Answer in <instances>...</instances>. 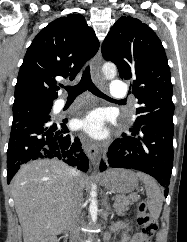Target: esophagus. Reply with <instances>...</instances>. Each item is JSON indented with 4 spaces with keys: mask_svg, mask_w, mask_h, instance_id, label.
<instances>
[{
    "mask_svg": "<svg viewBox=\"0 0 187 242\" xmlns=\"http://www.w3.org/2000/svg\"><path fill=\"white\" fill-rule=\"evenodd\" d=\"M101 64H102V54H101V50L99 49V51L95 55L93 62H92L93 73H97L100 71ZM83 144L85 147V152H86L88 158L90 159L91 163L93 165H96L98 155H99L98 144L91 141L86 136H83Z\"/></svg>",
    "mask_w": 187,
    "mask_h": 242,
    "instance_id": "1",
    "label": "esophagus"
}]
</instances>
